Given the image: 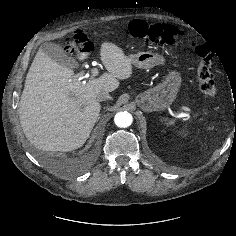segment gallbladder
Masks as SVG:
<instances>
[{
  "label": "gallbladder",
  "instance_id": "obj_1",
  "mask_svg": "<svg viewBox=\"0 0 236 236\" xmlns=\"http://www.w3.org/2000/svg\"><path fill=\"white\" fill-rule=\"evenodd\" d=\"M53 61L68 67L77 68L78 64L74 58L69 56L62 47L55 43L45 42L40 47Z\"/></svg>",
  "mask_w": 236,
  "mask_h": 236
}]
</instances>
